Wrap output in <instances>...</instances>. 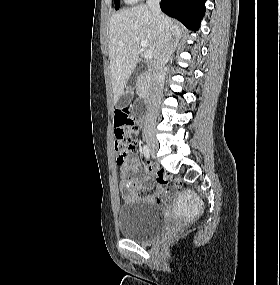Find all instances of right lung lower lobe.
Segmentation results:
<instances>
[{"label":"right lung lower lobe","mask_w":280,"mask_h":285,"mask_svg":"<svg viewBox=\"0 0 280 285\" xmlns=\"http://www.w3.org/2000/svg\"><path fill=\"white\" fill-rule=\"evenodd\" d=\"M205 2L206 0H161L160 8L186 27L197 30L205 13Z\"/></svg>","instance_id":"obj_1"}]
</instances>
